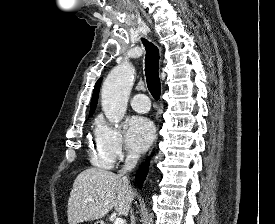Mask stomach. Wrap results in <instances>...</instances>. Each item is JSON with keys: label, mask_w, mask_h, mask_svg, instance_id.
<instances>
[{"label": "stomach", "mask_w": 275, "mask_h": 224, "mask_svg": "<svg viewBox=\"0 0 275 224\" xmlns=\"http://www.w3.org/2000/svg\"><path fill=\"white\" fill-rule=\"evenodd\" d=\"M94 224H104V222L103 221H97Z\"/></svg>", "instance_id": "1"}]
</instances>
